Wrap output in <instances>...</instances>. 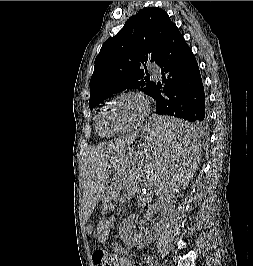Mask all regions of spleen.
Wrapping results in <instances>:
<instances>
[{
  "mask_svg": "<svg viewBox=\"0 0 253 266\" xmlns=\"http://www.w3.org/2000/svg\"><path fill=\"white\" fill-rule=\"evenodd\" d=\"M182 117H148L153 145L140 150L143 160H131V176L124 177L120 194L128 199H151L152 204H167L179 199V190L186 187L189 174H194L201 155L198 123H183ZM111 215H98L96 234L102 242L111 240Z\"/></svg>",
  "mask_w": 253,
  "mask_h": 266,
  "instance_id": "obj_1",
  "label": "spleen"
}]
</instances>
